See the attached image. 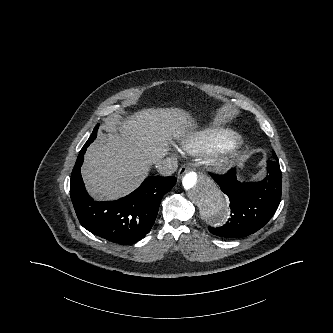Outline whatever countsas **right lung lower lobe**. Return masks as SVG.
<instances>
[{
	"label": "right lung lower lobe",
	"instance_id": "obj_1",
	"mask_svg": "<svg viewBox=\"0 0 333 333\" xmlns=\"http://www.w3.org/2000/svg\"><path fill=\"white\" fill-rule=\"evenodd\" d=\"M93 133L81 149L70 181V196L81 225L106 240L127 245L142 239L152 228L161 198L176 183V177L154 176L144 180L138 189L116 201L97 202L89 197L80 167Z\"/></svg>",
	"mask_w": 333,
	"mask_h": 333
}]
</instances>
